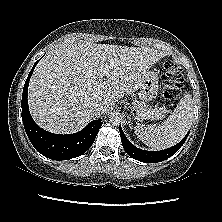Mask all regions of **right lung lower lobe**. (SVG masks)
Here are the masks:
<instances>
[{
	"instance_id": "right-lung-lower-lobe-1",
	"label": "right lung lower lobe",
	"mask_w": 222,
	"mask_h": 222,
	"mask_svg": "<svg viewBox=\"0 0 222 222\" xmlns=\"http://www.w3.org/2000/svg\"><path fill=\"white\" fill-rule=\"evenodd\" d=\"M37 63L38 61L30 71L23 88L21 107L26 134L34 148L45 157L53 160L78 157L91 147L103 122L94 120L80 132L70 135L53 134L40 128L31 117L27 100L29 81Z\"/></svg>"
}]
</instances>
